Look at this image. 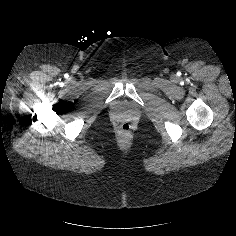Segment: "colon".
I'll return each mask as SVG.
<instances>
[{
	"label": "colon",
	"mask_w": 236,
	"mask_h": 236,
	"mask_svg": "<svg viewBox=\"0 0 236 236\" xmlns=\"http://www.w3.org/2000/svg\"><path fill=\"white\" fill-rule=\"evenodd\" d=\"M132 130V126L130 123L128 122H123L121 125H120V131L121 133H123L124 135H127L131 132Z\"/></svg>",
	"instance_id": "colon-1"
}]
</instances>
